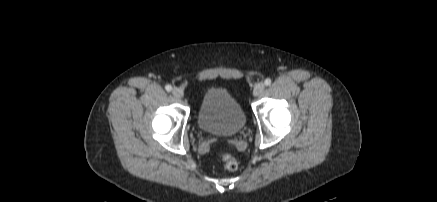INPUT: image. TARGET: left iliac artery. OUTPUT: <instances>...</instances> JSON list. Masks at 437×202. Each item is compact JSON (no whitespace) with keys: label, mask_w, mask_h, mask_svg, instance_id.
Here are the masks:
<instances>
[{"label":"left iliac artery","mask_w":437,"mask_h":202,"mask_svg":"<svg viewBox=\"0 0 437 202\" xmlns=\"http://www.w3.org/2000/svg\"><path fill=\"white\" fill-rule=\"evenodd\" d=\"M271 79L270 78H267L265 81H264V84L266 85V86H269L270 84H271Z\"/></svg>","instance_id":"left-iliac-artery-1"}]
</instances>
